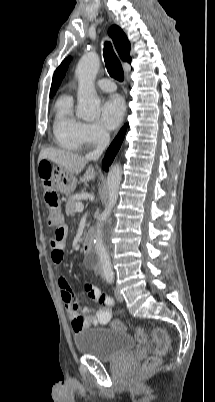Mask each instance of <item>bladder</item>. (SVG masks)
<instances>
[{"label": "bladder", "mask_w": 215, "mask_h": 402, "mask_svg": "<svg viewBox=\"0 0 215 402\" xmlns=\"http://www.w3.org/2000/svg\"><path fill=\"white\" fill-rule=\"evenodd\" d=\"M77 351L102 362H110L130 352L135 341L129 334L111 328H88L73 335Z\"/></svg>", "instance_id": "1"}]
</instances>
